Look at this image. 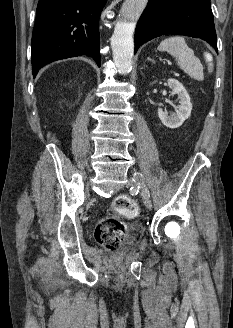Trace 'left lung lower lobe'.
Wrapping results in <instances>:
<instances>
[{
  "label": "left lung lower lobe",
  "instance_id": "left-lung-lower-lobe-1",
  "mask_svg": "<svg viewBox=\"0 0 233 328\" xmlns=\"http://www.w3.org/2000/svg\"><path fill=\"white\" fill-rule=\"evenodd\" d=\"M166 34L201 38L217 50L210 0H149L135 30V53L144 42Z\"/></svg>",
  "mask_w": 233,
  "mask_h": 328
}]
</instances>
